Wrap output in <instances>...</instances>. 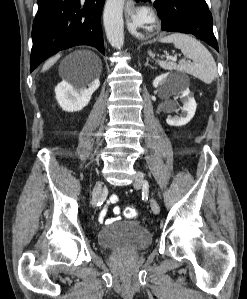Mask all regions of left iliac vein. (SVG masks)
Instances as JSON below:
<instances>
[{
    "label": "left iliac vein",
    "mask_w": 247,
    "mask_h": 299,
    "mask_svg": "<svg viewBox=\"0 0 247 299\" xmlns=\"http://www.w3.org/2000/svg\"><path fill=\"white\" fill-rule=\"evenodd\" d=\"M133 184H134L135 187H139V188L142 187L144 189H148V184L145 182L144 174L140 171L136 172ZM150 206H151V209H152L154 214H159L160 206L154 198H152L150 200Z\"/></svg>",
    "instance_id": "obj_1"
}]
</instances>
